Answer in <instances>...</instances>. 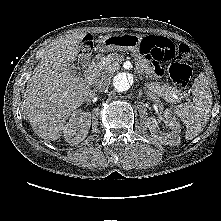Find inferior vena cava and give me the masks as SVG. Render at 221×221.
<instances>
[{"label": "inferior vena cava", "instance_id": "obj_1", "mask_svg": "<svg viewBox=\"0 0 221 221\" xmlns=\"http://www.w3.org/2000/svg\"><path fill=\"white\" fill-rule=\"evenodd\" d=\"M110 75L103 74L100 79L95 81L94 89L92 92H102L105 90L106 86L110 83Z\"/></svg>", "mask_w": 221, "mask_h": 221}]
</instances>
